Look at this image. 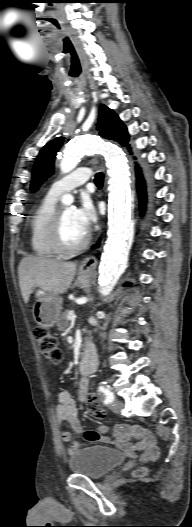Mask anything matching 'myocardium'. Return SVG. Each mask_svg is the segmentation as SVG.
<instances>
[{
    "label": "myocardium",
    "mask_w": 192,
    "mask_h": 527,
    "mask_svg": "<svg viewBox=\"0 0 192 527\" xmlns=\"http://www.w3.org/2000/svg\"><path fill=\"white\" fill-rule=\"evenodd\" d=\"M90 239L91 236L87 233L85 238L79 244L74 246L65 244L62 235V209L56 210L51 227V242L59 254L71 255L78 253L87 247Z\"/></svg>",
    "instance_id": "1"
}]
</instances>
